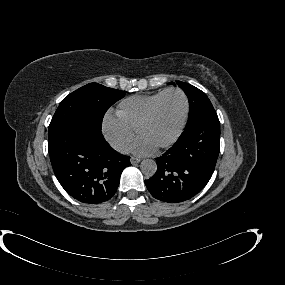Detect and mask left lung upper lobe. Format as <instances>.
Masks as SVG:
<instances>
[{
	"mask_svg": "<svg viewBox=\"0 0 285 285\" xmlns=\"http://www.w3.org/2000/svg\"><path fill=\"white\" fill-rule=\"evenodd\" d=\"M170 84L174 83L171 82ZM177 84L189 97L190 110L186 127L205 115L216 113L210 100L203 91L185 82L177 81Z\"/></svg>",
	"mask_w": 285,
	"mask_h": 285,
	"instance_id": "left-lung-upper-lobe-1",
	"label": "left lung upper lobe"
}]
</instances>
